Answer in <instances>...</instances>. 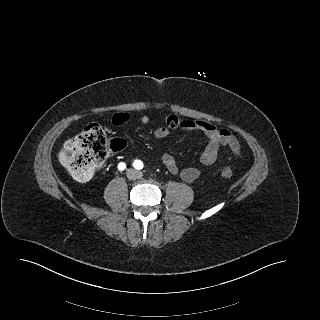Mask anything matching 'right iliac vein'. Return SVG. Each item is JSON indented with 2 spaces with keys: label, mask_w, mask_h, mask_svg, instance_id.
<instances>
[{
  "label": "right iliac vein",
  "mask_w": 320,
  "mask_h": 320,
  "mask_svg": "<svg viewBox=\"0 0 320 320\" xmlns=\"http://www.w3.org/2000/svg\"><path fill=\"white\" fill-rule=\"evenodd\" d=\"M127 175L129 178H133L134 177V172L133 171H128Z\"/></svg>",
  "instance_id": "63e3f726"
}]
</instances>
